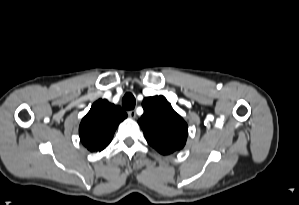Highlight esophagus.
<instances>
[{"mask_svg":"<svg viewBox=\"0 0 299 205\" xmlns=\"http://www.w3.org/2000/svg\"><path fill=\"white\" fill-rule=\"evenodd\" d=\"M128 116L132 119L136 118V112L135 110L128 111Z\"/></svg>","mask_w":299,"mask_h":205,"instance_id":"obj_1","label":"esophagus"}]
</instances>
